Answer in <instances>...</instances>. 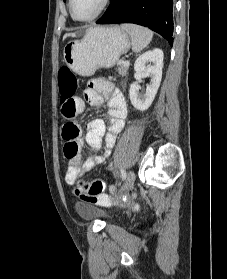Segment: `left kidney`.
<instances>
[{"label":"left kidney","instance_id":"5707ae66","mask_svg":"<svg viewBox=\"0 0 227 279\" xmlns=\"http://www.w3.org/2000/svg\"><path fill=\"white\" fill-rule=\"evenodd\" d=\"M150 63L149 65H146ZM163 68V51L161 49L149 50L141 54L134 63V78L136 83L130 85L129 97L132 105L140 111L147 110L152 104L160 86ZM150 77V84L146 87V94L139 95V82L142 78Z\"/></svg>","mask_w":227,"mask_h":279}]
</instances>
